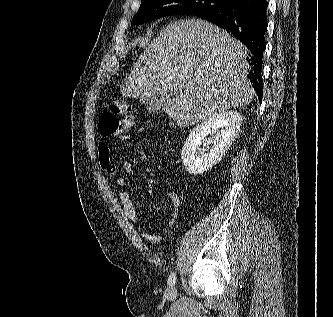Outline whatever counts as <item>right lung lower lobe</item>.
I'll return each mask as SVG.
<instances>
[{
    "label": "right lung lower lobe",
    "instance_id": "right-lung-lower-lobe-1",
    "mask_svg": "<svg viewBox=\"0 0 333 317\" xmlns=\"http://www.w3.org/2000/svg\"><path fill=\"white\" fill-rule=\"evenodd\" d=\"M267 0H228L218 8L196 14L229 31L254 55L253 87L262 100L261 67L267 29Z\"/></svg>",
    "mask_w": 333,
    "mask_h": 317
}]
</instances>
